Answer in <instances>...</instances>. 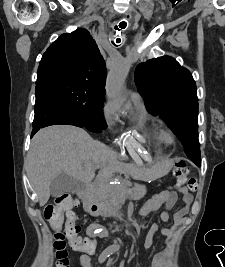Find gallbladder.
<instances>
[{"label": "gallbladder", "instance_id": "bac80fb5", "mask_svg": "<svg viewBox=\"0 0 225 267\" xmlns=\"http://www.w3.org/2000/svg\"><path fill=\"white\" fill-rule=\"evenodd\" d=\"M82 188V184L77 180L62 173L58 175L50 184V194L54 197L61 196L66 192H77Z\"/></svg>", "mask_w": 225, "mask_h": 267}]
</instances>
